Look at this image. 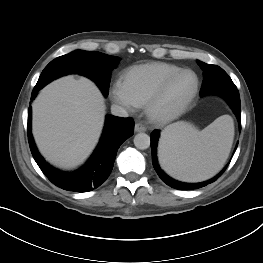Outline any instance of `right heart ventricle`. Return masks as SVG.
Returning a JSON list of instances; mask_svg holds the SVG:
<instances>
[{"instance_id": "obj_1", "label": "right heart ventricle", "mask_w": 263, "mask_h": 263, "mask_svg": "<svg viewBox=\"0 0 263 263\" xmlns=\"http://www.w3.org/2000/svg\"><path fill=\"white\" fill-rule=\"evenodd\" d=\"M180 69L177 65L164 62L136 65L125 71L123 83L136 105L143 106L160 83Z\"/></svg>"}]
</instances>
